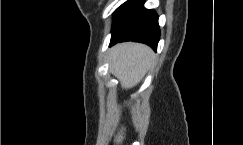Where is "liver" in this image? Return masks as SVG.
<instances>
[{"mask_svg": "<svg viewBox=\"0 0 243 145\" xmlns=\"http://www.w3.org/2000/svg\"><path fill=\"white\" fill-rule=\"evenodd\" d=\"M153 60L152 50L143 44L126 42L114 46L110 55V71L121 87L136 86L145 76Z\"/></svg>", "mask_w": 243, "mask_h": 145, "instance_id": "obj_1", "label": "liver"}]
</instances>
